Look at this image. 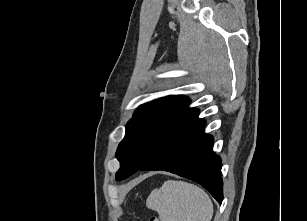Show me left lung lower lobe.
Listing matches in <instances>:
<instances>
[{
	"instance_id": "left-lung-lower-lobe-1",
	"label": "left lung lower lobe",
	"mask_w": 307,
	"mask_h": 221,
	"mask_svg": "<svg viewBox=\"0 0 307 221\" xmlns=\"http://www.w3.org/2000/svg\"><path fill=\"white\" fill-rule=\"evenodd\" d=\"M205 121L181 134L140 170H162L201 184L221 203L223 183L221 159L213 152V138L204 133Z\"/></svg>"
}]
</instances>
